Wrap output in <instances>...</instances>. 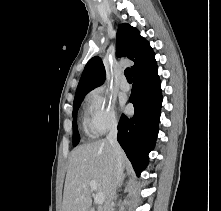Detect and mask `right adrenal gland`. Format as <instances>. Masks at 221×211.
<instances>
[{"label":"right adrenal gland","instance_id":"1","mask_svg":"<svg viewBox=\"0 0 221 211\" xmlns=\"http://www.w3.org/2000/svg\"><path fill=\"white\" fill-rule=\"evenodd\" d=\"M123 181H124V176L122 177V180L120 181V183H119V185H118L119 188L122 186Z\"/></svg>","mask_w":221,"mask_h":211}]
</instances>
